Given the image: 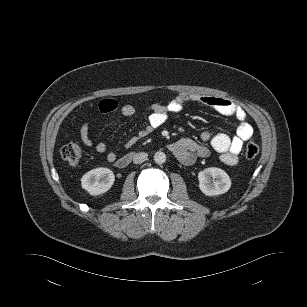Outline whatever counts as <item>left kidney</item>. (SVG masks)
Instances as JSON below:
<instances>
[{
  "instance_id": "5707ae66",
  "label": "left kidney",
  "mask_w": 307,
  "mask_h": 307,
  "mask_svg": "<svg viewBox=\"0 0 307 307\" xmlns=\"http://www.w3.org/2000/svg\"><path fill=\"white\" fill-rule=\"evenodd\" d=\"M199 188L207 196L226 193L231 187L228 174L217 167L206 168L198 174Z\"/></svg>"
}]
</instances>
